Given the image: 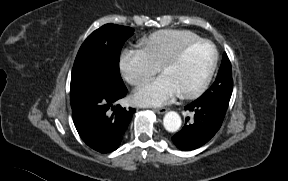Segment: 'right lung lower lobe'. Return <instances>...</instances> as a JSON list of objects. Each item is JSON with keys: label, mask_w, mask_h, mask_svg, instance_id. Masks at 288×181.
<instances>
[{"label": "right lung lower lobe", "mask_w": 288, "mask_h": 181, "mask_svg": "<svg viewBox=\"0 0 288 181\" xmlns=\"http://www.w3.org/2000/svg\"><path fill=\"white\" fill-rule=\"evenodd\" d=\"M126 94L124 84L113 85L103 74L92 73L85 78L72 113L80 137L92 149L110 153L121 144L135 109L115 108L113 104Z\"/></svg>", "instance_id": "98d812e1"}]
</instances>
